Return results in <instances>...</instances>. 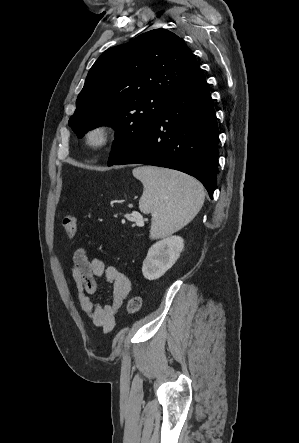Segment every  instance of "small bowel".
Returning a JSON list of instances; mask_svg holds the SVG:
<instances>
[{"instance_id":"c3829d8e","label":"small bowel","mask_w":299,"mask_h":443,"mask_svg":"<svg viewBox=\"0 0 299 443\" xmlns=\"http://www.w3.org/2000/svg\"><path fill=\"white\" fill-rule=\"evenodd\" d=\"M72 276L78 300L93 325L109 333L115 326L116 315L131 291L129 278L116 266H106L98 257H90L84 248H78L72 258ZM104 278L111 287V299L106 305L93 304L91 296L98 290V280Z\"/></svg>"}]
</instances>
